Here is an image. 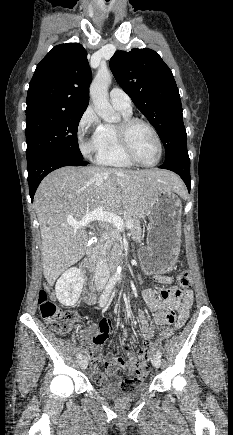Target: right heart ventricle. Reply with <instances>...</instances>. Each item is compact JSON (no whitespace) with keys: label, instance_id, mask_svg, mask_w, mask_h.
I'll return each mask as SVG.
<instances>
[{"label":"right heart ventricle","instance_id":"e07e8e85","mask_svg":"<svg viewBox=\"0 0 233 435\" xmlns=\"http://www.w3.org/2000/svg\"><path fill=\"white\" fill-rule=\"evenodd\" d=\"M116 108V107H115ZM124 117H130L131 112L116 108ZM102 146L97 155V162L103 166L132 167L134 164L124 155L116 132V125L110 123L102 124L101 135Z\"/></svg>","mask_w":233,"mask_h":435}]
</instances>
